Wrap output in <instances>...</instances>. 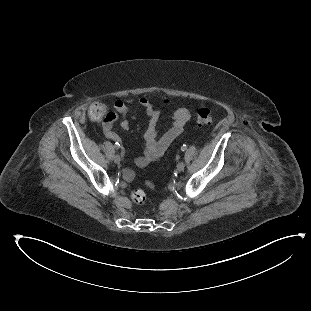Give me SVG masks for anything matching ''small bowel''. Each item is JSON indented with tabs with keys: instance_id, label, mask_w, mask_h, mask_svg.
<instances>
[{
	"instance_id": "obj_1",
	"label": "small bowel",
	"mask_w": 311,
	"mask_h": 311,
	"mask_svg": "<svg viewBox=\"0 0 311 311\" xmlns=\"http://www.w3.org/2000/svg\"><path fill=\"white\" fill-rule=\"evenodd\" d=\"M131 98L125 100H115L112 104L117 112V116L121 117L120 128L127 131L130 128L129 114L132 110ZM165 105L169 101L164 102ZM138 105L145 111L148 117V125L144 134L145 146L143 153L135 157L134 162L138 167H146L150 163L159 160L171 143L184 131L190 114L185 108H179L175 111L171 126L162 134H158V122L160 118V110L146 97L138 100ZM105 135L112 140H119V135L112 130V125H104Z\"/></svg>"
}]
</instances>
